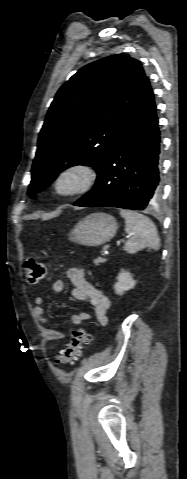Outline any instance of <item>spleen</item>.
<instances>
[{"label":"spleen","instance_id":"obj_1","mask_svg":"<svg viewBox=\"0 0 187 479\" xmlns=\"http://www.w3.org/2000/svg\"><path fill=\"white\" fill-rule=\"evenodd\" d=\"M120 215L125 219V231L131 237L126 242L124 250L135 254L144 248L154 251L160 248V238L154 223L145 215L131 210H120Z\"/></svg>","mask_w":187,"mask_h":479}]
</instances>
